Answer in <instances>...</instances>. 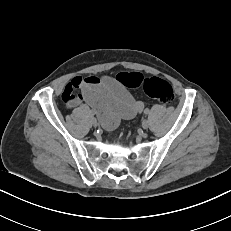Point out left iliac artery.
Segmentation results:
<instances>
[{
    "mask_svg": "<svg viewBox=\"0 0 231 231\" xmlns=\"http://www.w3.org/2000/svg\"><path fill=\"white\" fill-rule=\"evenodd\" d=\"M149 112H150L149 109H145V110H144V113H145L146 115H148Z\"/></svg>",
    "mask_w": 231,
    "mask_h": 231,
    "instance_id": "left-iliac-artery-1",
    "label": "left iliac artery"
}]
</instances>
